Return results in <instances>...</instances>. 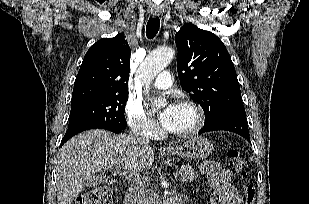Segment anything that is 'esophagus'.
I'll return each instance as SVG.
<instances>
[{"label":"esophagus","mask_w":309,"mask_h":204,"mask_svg":"<svg viewBox=\"0 0 309 204\" xmlns=\"http://www.w3.org/2000/svg\"><path fill=\"white\" fill-rule=\"evenodd\" d=\"M152 16L156 17V16H158V14L157 13H152Z\"/></svg>","instance_id":"34e87169"}]
</instances>
